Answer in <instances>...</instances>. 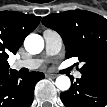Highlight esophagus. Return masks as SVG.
<instances>
[{
	"instance_id": "34e87169",
	"label": "esophagus",
	"mask_w": 107,
	"mask_h": 107,
	"mask_svg": "<svg viewBox=\"0 0 107 107\" xmlns=\"http://www.w3.org/2000/svg\"><path fill=\"white\" fill-rule=\"evenodd\" d=\"M46 76L50 77V78H56L57 77V75L51 74V73H47Z\"/></svg>"
}]
</instances>
